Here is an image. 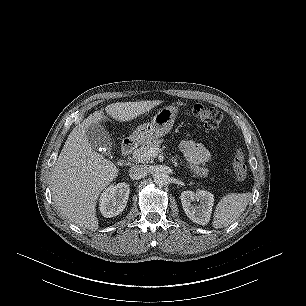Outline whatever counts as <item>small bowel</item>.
Here are the masks:
<instances>
[{
    "label": "small bowel",
    "mask_w": 306,
    "mask_h": 306,
    "mask_svg": "<svg viewBox=\"0 0 306 306\" xmlns=\"http://www.w3.org/2000/svg\"><path fill=\"white\" fill-rule=\"evenodd\" d=\"M179 149L195 174L200 176L207 174L205 164L211 160L212 156L203 144L187 138L179 143Z\"/></svg>",
    "instance_id": "small-bowel-1"
}]
</instances>
